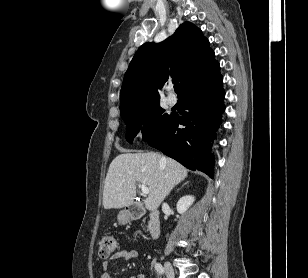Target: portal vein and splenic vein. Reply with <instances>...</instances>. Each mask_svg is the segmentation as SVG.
Masks as SVG:
<instances>
[{
  "label": "portal vein and splenic vein",
  "mask_w": 308,
  "mask_h": 278,
  "mask_svg": "<svg viewBox=\"0 0 308 278\" xmlns=\"http://www.w3.org/2000/svg\"><path fill=\"white\" fill-rule=\"evenodd\" d=\"M140 187L143 194L147 195L149 193V188L145 184L142 183Z\"/></svg>",
  "instance_id": "portal-vein-and-splenic-vein-1"
}]
</instances>
